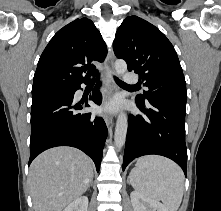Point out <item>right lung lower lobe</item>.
<instances>
[{
  "mask_svg": "<svg viewBox=\"0 0 221 211\" xmlns=\"http://www.w3.org/2000/svg\"><path fill=\"white\" fill-rule=\"evenodd\" d=\"M85 84L87 82H84ZM94 88L89 98L97 105L102 102L101 93ZM80 84L60 88L54 93L33 99L31 106L30 159L46 149L56 146L76 147L92 158L99 171L107 127L101 117L78 111L89 107L74 101V93Z\"/></svg>",
  "mask_w": 221,
  "mask_h": 211,
  "instance_id": "obj_1",
  "label": "right lung lower lobe"
}]
</instances>
